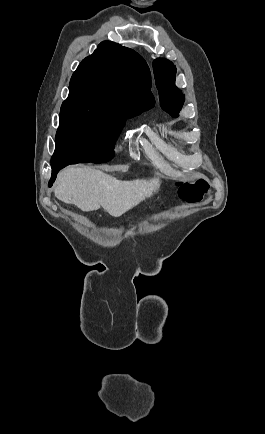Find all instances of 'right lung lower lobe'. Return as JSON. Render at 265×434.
Masks as SVG:
<instances>
[{"label": "right lung lower lobe", "mask_w": 265, "mask_h": 434, "mask_svg": "<svg viewBox=\"0 0 265 434\" xmlns=\"http://www.w3.org/2000/svg\"><path fill=\"white\" fill-rule=\"evenodd\" d=\"M64 167H66V165H63V166H57V167H52V176H51V179H50V181H49V183H48L49 187H51L52 184H53V182L55 181L57 173H58L62 168H64Z\"/></svg>", "instance_id": "1"}]
</instances>
